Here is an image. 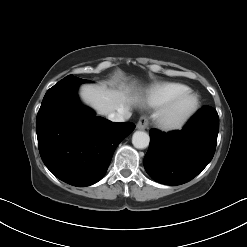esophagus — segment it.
I'll use <instances>...</instances> for the list:
<instances>
[{
	"label": "esophagus",
	"mask_w": 247,
	"mask_h": 247,
	"mask_svg": "<svg viewBox=\"0 0 247 247\" xmlns=\"http://www.w3.org/2000/svg\"><path fill=\"white\" fill-rule=\"evenodd\" d=\"M147 126H148V120L146 117H141L136 125L138 130H145Z\"/></svg>",
	"instance_id": "1"
}]
</instances>
